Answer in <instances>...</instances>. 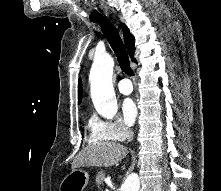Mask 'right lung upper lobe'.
Here are the masks:
<instances>
[{"label": "right lung upper lobe", "instance_id": "obj_1", "mask_svg": "<svg viewBox=\"0 0 221 191\" xmlns=\"http://www.w3.org/2000/svg\"><path fill=\"white\" fill-rule=\"evenodd\" d=\"M122 29H123L125 45H126V48L128 50V53H129L131 59L134 62H136V60L133 57L134 53H135L134 37H133L132 34H130L129 29L127 28V26L125 24H122ZM78 96H79V102H81V99H82V84H81L80 80H79V84H78Z\"/></svg>", "mask_w": 221, "mask_h": 191}]
</instances>
